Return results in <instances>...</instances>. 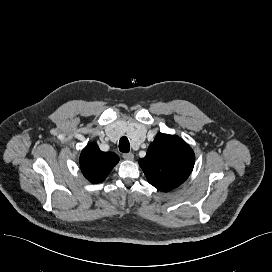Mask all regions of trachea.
I'll use <instances>...</instances> for the list:
<instances>
[{
    "instance_id": "trachea-1",
    "label": "trachea",
    "mask_w": 272,
    "mask_h": 272,
    "mask_svg": "<svg viewBox=\"0 0 272 272\" xmlns=\"http://www.w3.org/2000/svg\"><path fill=\"white\" fill-rule=\"evenodd\" d=\"M119 150L122 153H128L130 151V143L127 139V137H122L119 141Z\"/></svg>"
}]
</instances>
